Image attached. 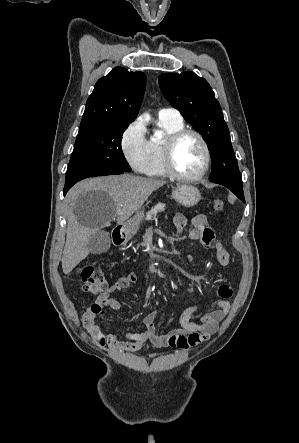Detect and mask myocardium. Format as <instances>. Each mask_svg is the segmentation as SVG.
Listing matches in <instances>:
<instances>
[{"instance_id": "myocardium-1", "label": "myocardium", "mask_w": 299, "mask_h": 443, "mask_svg": "<svg viewBox=\"0 0 299 443\" xmlns=\"http://www.w3.org/2000/svg\"><path fill=\"white\" fill-rule=\"evenodd\" d=\"M188 135L195 136L199 140V142L203 148V151H204V161H203L202 168L197 174H194V175H184V174L180 173L174 164L175 149H176L177 145L179 144V142L185 136H188ZM210 162H211V152H210V148L208 146V143L206 142L205 138L198 131H196L194 129L183 128V129H180V130L172 133L171 135L168 136V138L166 139V141L163 145L164 168H165L167 174H169L174 179H177L180 181H185V182L198 181V180L202 179L206 175V173L208 172Z\"/></svg>"}]
</instances>
